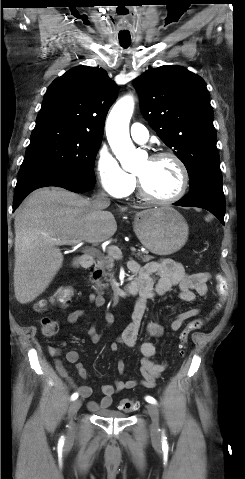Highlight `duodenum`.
<instances>
[{
    "label": "duodenum",
    "mask_w": 245,
    "mask_h": 479,
    "mask_svg": "<svg viewBox=\"0 0 245 479\" xmlns=\"http://www.w3.org/2000/svg\"><path fill=\"white\" fill-rule=\"evenodd\" d=\"M80 263H81V266L84 268H91L94 264V259L91 254H87L81 259ZM139 291H140L139 282L137 280L129 281L126 283V285L122 289L115 292L114 298L115 300L118 301L125 296L136 295L139 293Z\"/></svg>",
    "instance_id": "obj_1"
}]
</instances>
